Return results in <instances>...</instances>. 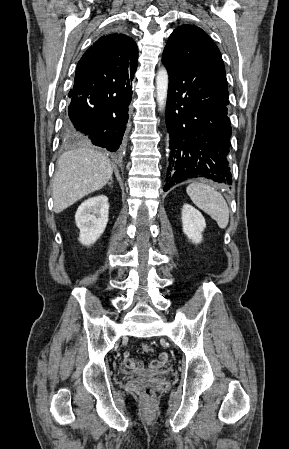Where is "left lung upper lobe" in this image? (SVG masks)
<instances>
[{
    "mask_svg": "<svg viewBox=\"0 0 289 449\" xmlns=\"http://www.w3.org/2000/svg\"><path fill=\"white\" fill-rule=\"evenodd\" d=\"M163 56L198 69L228 94L221 53L199 27L182 25L175 29L168 39Z\"/></svg>",
    "mask_w": 289,
    "mask_h": 449,
    "instance_id": "obj_1",
    "label": "left lung upper lobe"
}]
</instances>
